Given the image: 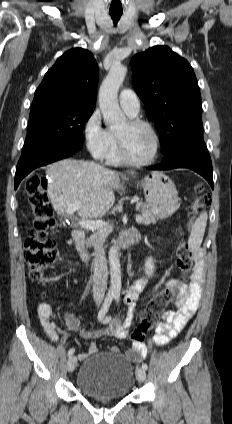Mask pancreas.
Wrapping results in <instances>:
<instances>
[{
	"label": "pancreas",
	"mask_w": 232,
	"mask_h": 424,
	"mask_svg": "<svg viewBox=\"0 0 232 424\" xmlns=\"http://www.w3.org/2000/svg\"><path fill=\"white\" fill-rule=\"evenodd\" d=\"M140 208V212L141 215L140 217L142 218L141 224L143 225H149V224H155L156 223V216L153 214V212L145 205V204H140L139 205ZM111 232L110 229H104L98 232V236L100 238L101 241H105L106 237L109 235V233ZM91 243L94 244V241L91 239Z\"/></svg>",
	"instance_id": "cf45deb5"
}]
</instances>
